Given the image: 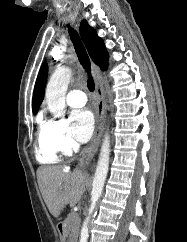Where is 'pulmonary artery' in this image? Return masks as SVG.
I'll return each mask as SVG.
<instances>
[{
  "mask_svg": "<svg viewBox=\"0 0 187 242\" xmlns=\"http://www.w3.org/2000/svg\"><path fill=\"white\" fill-rule=\"evenodd\" d=\"M66 101L71 107H81L86 103V96L81 90H70L67 94Z\"/></svg>",
  "mask_w": 187,
  "mask_h": 242,
  "instance_id": "e3ab8cb5",
  "label": "pulmonary artery"
}]
</instances>
